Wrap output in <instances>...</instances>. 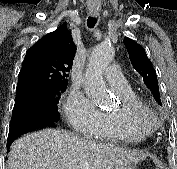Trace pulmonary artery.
<instances>
[{"label":"pulmonary artery","mask_w":177,"mask_h":169,"mask_svg":"<svg viewBox=\"0 0 177 169\" xmlns=\"http://www.w3.org/2000/svg\"><path fill=\"white\" fill-rule=\"evenodd\" d=\"M105 78L114 91H124L130 87L128 80L117 64H112L105 71Z\"/></svg>","instance_id":"e3ab8cb5"}]
</instances>
